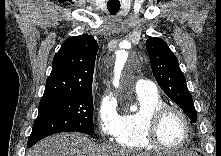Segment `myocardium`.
I'll return each mask as SVG.
<instances>
[{
	"instance_id": "f54148a6",
	"label": "myocardium",
	"mask_w": 221,
	"mask_h": 156,
	"mask_svg": "<svg viewBox=\"0 0 221 156\" xmlns=\"http://www.w3.org/2000/svg\"><path fill=\"white\" fill-rule=\"evenodd\" d=\"M168 112H175L177 113L183 120L186 128V135L183 142L176 147H169L162 143L159 138V127L160 124ZM192 134V127L189 117L186 113L179 107L169 104H163L156 109H154L151 114L149 115L146 127H145V135L147 141L155 148L168 151V152H175L183 149L190 141Z\"/></svg>"
}]
</instances>
